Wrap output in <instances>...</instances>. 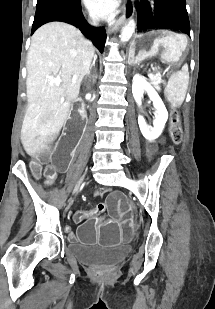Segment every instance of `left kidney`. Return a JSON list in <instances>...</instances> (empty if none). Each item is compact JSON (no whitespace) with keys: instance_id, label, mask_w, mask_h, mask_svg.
<instances>
[{"instance_id":"1","label":"left kidney","mask_w":215,"mask_h":309,"mask_svg":"<svg viewBox=\"0 0 215 309\" xmlns=\"http://www.w3.org/2000/svg\"><path fill=\"white\" fill-rule=\"evenodd\" d=\"M132 92L137 104H142L143 92H147L150 100H153L154 108H156L153 126H148L144 116H138V124L143 136L147 140H155V138L160 136L165 122H167L168 110L155 88L145 80V76L134 74Z\"/></svg>"}]
</instances>
